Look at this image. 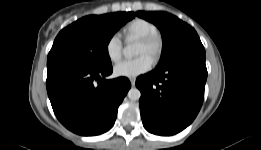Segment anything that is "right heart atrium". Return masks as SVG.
<instances>
[{
  "mask_svg": "<svg viewBox=\"0 0 261 150\" xmlns=\"http://www.w3.org/2000/svg\"><path fill=\"white\" fill-rule=\"evenodd\" d=\"M106 55L113 63L118 62L122 57L123 44L117 34L111 35L105 44Z\"/></svg>",
  "mask_w": 261,
  "mask_h": 150,
  "instance_id": "obj_1",
  "label": "right heart atrium"
}]
</instances>
